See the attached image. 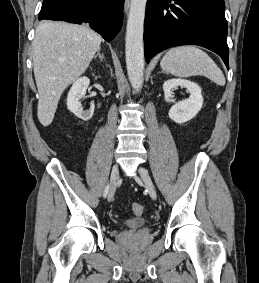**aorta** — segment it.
<instances>
[{
    "label": "aorta",
    "instance_id": "obj_1",
    "mask_svg": "<svg viewBox=\"0 0 259 283\" xmlns=\"http://www.w3.org/2000/svg\"><path fill=\"white\" fill-rule=\"evenodd\" d=\"M147 0H131L125 39V55L129 81L136 91L141 89L144 77V19Z\"/></svg>",
    "mask_w": 259,
    "mask_h": 283
}]
</instances>
